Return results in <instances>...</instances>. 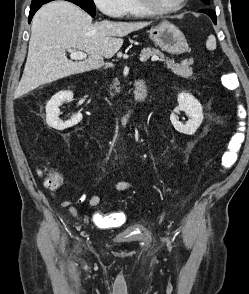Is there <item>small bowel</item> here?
<instances>
[{"label":"small bowel","instance_id":"obj_1","mask_svg":"<svg viewBox=\"0 0 249 294\" xmlns=\"http://www.w3.org/2000/svg\"><path fill=\"white\" fill-rule=\"evenodd\" d=\"M137 186L136 183L130 181H118L115 182L111 189L116 192H123L128 191ZM101 203V198L98 195H92L87 199V204L90 207H97ZM69 211V213L78 221H84L85 219L79 214L78 210L76 209L74 203L72 202H65L63 204ZM116 222H113V220ZM93 223L96 227L100 229H113L116 227L121 226L125 221V216L122 213H101L96 212L92 217Z\"/></svg>","mask_w":249,"mask_h":294}]
</instances>
